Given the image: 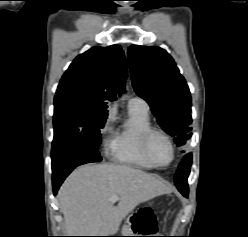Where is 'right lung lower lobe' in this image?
Returning a JSON list of instances; mask_svg holds the SVG:
<instances>
[{"instance_id":"1","label":"right lung lower lobe","mask_w":248,"mask_h":237,"mask_svg":"<svg viewBox=\"0 0 248 237\" xmlns=\"http://www.w3.org/2000/svg\"><path fill=\"white\" fill-rule=\"evenodd\" d=\"M53 189L56 195L60 185L70 172L79 165L102 160L98 150L88 146H52Z\"/></svg>"}]
</instances>
